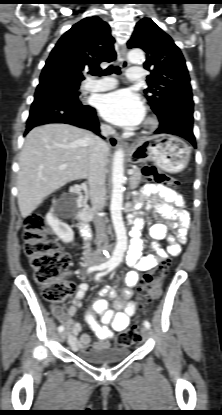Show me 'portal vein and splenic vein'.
<instances>
[{
    "instance_id": "1",
    "label": "portal vein and splenic vein",
    "mask_w": 222,
    "mask_h": 415,
    "mask_svg": "<svg viewBox=\"0 0 222 415\" xmlns=\"http://www.w3.org/2000/svg\"><path fill=\"white\" fill-rule=\"evenodd\" d=\"M67 167V165L66 164H64V165H62L61 167H60V169H64V168H66ZM128 174L129 175H132L133 174V170L132 169H130L129 171H128Z\"/></svg>"
}]
</instances>
